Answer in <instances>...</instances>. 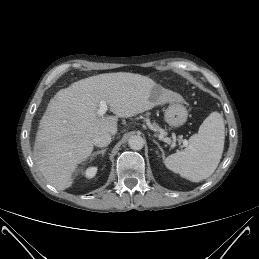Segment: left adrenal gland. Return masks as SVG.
<instances>
[{
    "label": "left adrenal gland",
    "mask_w": 259,
    "mask_h": 259,
    "mask_svg": "<svg viewBox=\"0 0 259 259\" xmlns=\"http://www.w3.org/2000/svg\"><path fill=\"white\" fill-rule=\"evenodd\" d=\"M154 143L158 146V148L160 149V151L162 152V157L164 158L165 157V153L162 149V147L159 145V143L157 141L154 140Z\"/></svg>",
    "instance_id": "left-adrenal-gland-1"
}]
</instances>
